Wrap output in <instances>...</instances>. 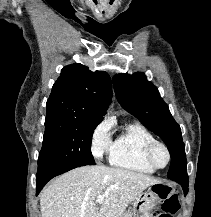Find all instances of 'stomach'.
I'll list each match as a JSON object with an SVG mask.
<instances>
[{"label":"stomach","mask_w":211,"mask_h":217,"mask_svg":"<svg viewBox=\"0 0 211 217\" xmlns=\"http://www.w3.org/2000/svg\"><path fill=\"white\" fill-rule=\"evenodd\" d=\"M157 190L158 187L154 185L138 195L131 209L132 217H150V211L158 202Z\"/></svg>","instance_id":"0dacf381"}]
</instances>
